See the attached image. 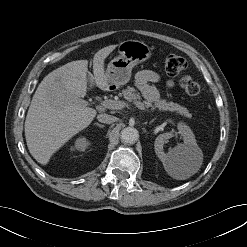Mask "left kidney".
Returning <instances> with one entry per match:
<instances>
[{"label":"left kidney","mask_w":247,"mask_h":247,"mask_svg":"<svg viewBox=\"0 0 247 247\" xmlns=\"http://www.w3.org/2000/svg\"><path fill=\"white\" fill-rule=\"evenodd\" d=\"M177 133L182 136L183 143L178 144L168 153L163 151V145L167 143L168 139L174 137L175 134L173 132L163 133L155 140V153L163 163L178 162L185 159L191 160L199 152L195 136L187 125L180 124Z\"/></svg>","instance_id":"obj_1"}]
</instances>
